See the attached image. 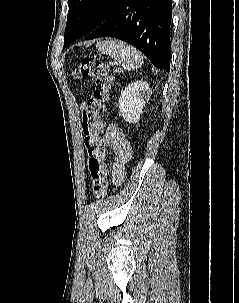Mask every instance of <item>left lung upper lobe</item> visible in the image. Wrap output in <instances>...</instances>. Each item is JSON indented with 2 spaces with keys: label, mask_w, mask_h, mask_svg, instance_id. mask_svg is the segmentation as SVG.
<instances>
[{
  "label": "left lung upper lobe",
  "mask_w": 239,
  "mask_h": 303,
  "mask_svg": "<svg viewBox=\"0 0 239 303\" xmlns=\"http://www.w3.org/2000/svg\"><path fill=\"white\" fill-rule=\"evenodd\" d=\"M121 0H68L69 12L64 34V47L91 33L113 12Z\"/></svg>",
  "instance_id": "5c2ea615"
}]
</instances>
